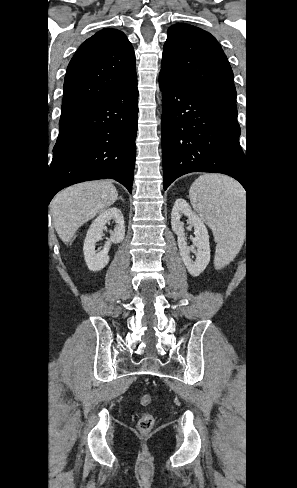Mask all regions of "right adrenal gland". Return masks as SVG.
I'll return each mask as SVG.
<instances>
[{
    "mask_svg": "<svg viewBox=\"0 0 297 488\" xmlns=\"http://www.w3.org/2000/svg\"><path fill=\"white\" fill-rule=\"evenodd\" d=\"M119 199H120V200H123V198H122L121 196H119Z\"/></svg>",
    "mask_w": 297,
    "mask_h": 488,
    "instance_id": "1",
    "label": "right adrenal gland"
}]
</instances>
